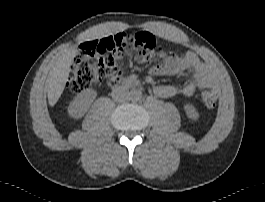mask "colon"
Wrapping results in <instances>:
<instances>
[{"mask_svg":"<svg viewBox=\"0 0 265 202\" xmlns=\"http://www.w3.org/2000/svg\"><path fill=\"white\" fill-rule=\"evenodd\" d=\"M101 57H76L71 64V72L67 80L68 89L80 93L92 85L106 80H115L123 71L118 64L123 50H131L139 59H151L163 52L164 48L149 35L119 32L99 39ZM198 97L203 107L213 109L218 99V90L205 87L199 90Z\"/></svg>","mask_w":265,"mask_h":202,"instance_id":"colon-1","label":"colon"}]
</instances>
